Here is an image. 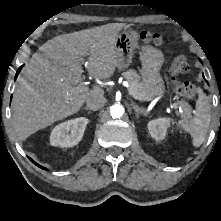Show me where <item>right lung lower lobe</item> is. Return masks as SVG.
<instances>
[{"mask_svg": "<svg viewBox=\"0 0 221 221\" xmlns=\"http://www.w3.org/2000/svg\"><path fill=\"white\" fill-rule=\"evenodd\" d=\"M21 68H22V66L18 69L15 78L18 76V74H19ZM29 159H30L35 165H37L38 167H40V168H42V169H46V168L40 166L39 164H37V163H36L35 161H33L31 158H29Z\"/></svg>", "mask_w": 221, "mask_h": 221, "instance_id": "1", "label": "right lung lower lobe"}]
</instances>
